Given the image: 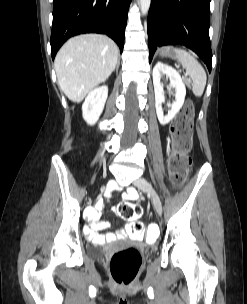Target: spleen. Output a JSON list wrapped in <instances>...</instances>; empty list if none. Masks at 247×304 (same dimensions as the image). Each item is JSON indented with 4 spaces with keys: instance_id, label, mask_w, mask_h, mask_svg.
Wrapping results in <instances>:
<instances>
[{
    "instance_id": "1",
    "label": "spleen",
    "mask_w": 247,
    "mask_h": 304,
    "mask_svg": "<svg viewBox=\"0 0 247 304\" xmlns=\"http://www.w3.org/2000/svg\"><path fill=\"white\" fill-rule=\"evenodd\" d=\"M179 62L186 69V72L192 79V91L195 96L200 97L206 86V72L202 65L186 50L174 49Z\"/></svg>"
}]
</instances>
